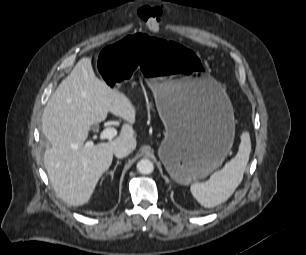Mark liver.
<instances>
[{
    "instance_id": "1",
    "label": "liver",
    "mask_w": 306,
    "mask_h": 255,
    "mask_svg": "<svg viewBox=\"0 0 306 255\" xmlns=\"http://www.w3.org/2000/svg\"><path fill=\"white\" fill-rule=\"evenodd\" d=\"M109 112L129 124H123L112 141L85 147L91 126L104 121ZM135 122L130 99L96 77L91 58L80 59L52 94L42 116V132L51 144L44 165L58 197L73 206L88 203L112 164L114 147L127 142L136 148Z\"/></svg>"
}]
</instances>
